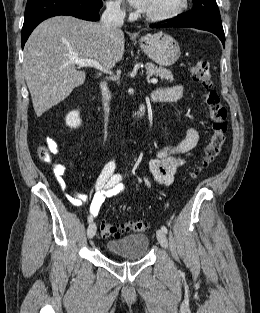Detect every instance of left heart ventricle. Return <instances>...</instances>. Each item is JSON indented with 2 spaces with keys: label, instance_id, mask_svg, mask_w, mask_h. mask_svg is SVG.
<instances>
[{
  "label": "left heart ventricle",
  "instance_id": "1",
  "mask_svg": "<svg viewBox=\"0 0 260 313\" xmlns=\"http://www.w3.org/2000/svg\"><path fill=\"white\" fill-rule=\"evenodd\" d=\"M180 0H147L145 9L146 14L159 15L175 9Z\"/></svg>",
  "mask_w": 260,
  "mask_h": 313
}]
</instances>
